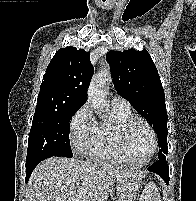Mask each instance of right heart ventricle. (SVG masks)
I'll return each instance as SVG.
<instances>
[{
	"mask_svg": "<svg viewBox=\"0 0 196 201\" xmlns=\"http://www.w3.org/2000/svg\"><path fill=\"white\" fill-rule=\"evenodd\" d=\"M132 117L130 109L112 106L111 119L97 124L95 139L88 151L90 156L99 161L129 164L121 151L118 133L120 126Z\"/></svg>",
	"mask_w": 196,
	"mask_h": 201,
	"instance_id": "right-heart-ventricle-1",
	"label": "right heart ventricle"
}]
</instances>
